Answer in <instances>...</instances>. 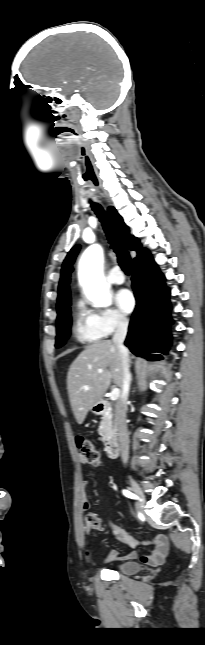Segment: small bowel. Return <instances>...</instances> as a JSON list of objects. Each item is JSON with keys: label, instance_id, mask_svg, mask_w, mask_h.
I'll list each match as a JSON object with an SVG mask.
<instances>
[{"label": "small bowel", "instance_id": "small-bowel-1", "mask_svg": "<svg viewBox=\"0 0 205 645\" xmlns=\"http://www.w3.org/2000/svg\"><path fill=\"white\" fill-rule=\"evenodd\" d=\"M82 464H86L87 462L81 458L80 459ZM87 482L83 481V486H86ZM82 507L84 510L89 509V502L84 499L82 502ZM109 527L111 531L115 534L117 539L121 541L122 543L126 544L127 546L133 548L132 551L127 553L126 555L122 557H118V552L116 550H113L110 552L108 555L106 561H112V560H134L138 558V553L135 550L139 545L141 544H146V545H152V551L149 554L143 555L140 557V560L148 565L156 566L162 564L168 554L169 551V541L168 539L163 536V535H157L154 538L150 540H143L140 541L133 536L129 535L124 529L116 526L114 523L109 521ZM87 562L89 564H94V558L91 553H87L86 555Z\"/></svg>", "mask_w": 205, "mask_h": 645}]
</instances>
